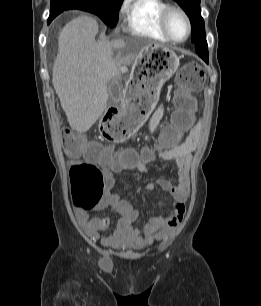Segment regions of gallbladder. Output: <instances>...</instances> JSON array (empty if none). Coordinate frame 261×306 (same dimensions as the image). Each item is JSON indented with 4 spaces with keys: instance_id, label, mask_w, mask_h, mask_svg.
Masks as SVG:
<instances>
[{
    "instance_id": "bac80fb5",
    "label": "gallbladder",
    "mask_w": 261,
    "mask_h": 306,
    "mask_svg": "<svg viewBox=\"0 0 261 306\" xmlns=\"http://www.w3.org/2000/svg\"><path fill=\"white\" fill-rule=\"evenodd\" d=\"M108 90L110 94V99L108 100L109 104H113L119 101L121 97V86L114 81L108 82Z\"/></svg>"
}]
</instances>
